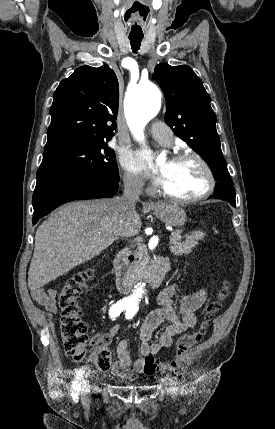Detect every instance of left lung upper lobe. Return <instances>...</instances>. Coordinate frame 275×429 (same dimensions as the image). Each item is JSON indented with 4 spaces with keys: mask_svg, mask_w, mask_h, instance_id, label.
<instances>
[{
    "mask_svg": "<svg viewBox=\"0 0 275 429\" xmlns=\"http://www.w3.org/2000/svg\"><path fill=\"white\" fill-rule=\"evenodd\" d=\"M154 79L166 98L165 121L209 164L215 180V193L235 201V189L223 157L216 131V115L201 79L186 65L158 64Z\"/></svg>",
    "mask_w": 275,
    "mask_h": 429,
    "instance_id": "5c2ea615",
    "label": "left lung upper lobe"
}]
</instances>
